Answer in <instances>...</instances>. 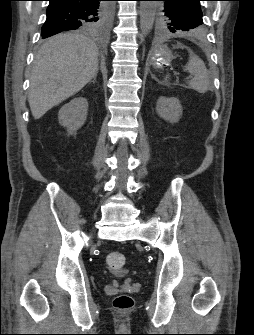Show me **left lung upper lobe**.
I'll list each match as a JSON object with an SVG mask.
<instances>
[{"label":"left lung upper lobe","instance_id":"1","mask_svg":"<svg viewBox=\"0 0 254 335\" xmlns=\"http://www.w3.org/2000/svg\"><path fill=\"white\" fill-rule=\"evenodd\" d=\"M164 1V9L159 11L160 24L164 30L200 31L203 28L202 0H159Z\"/></svg>","mask_w":254,"mask_h":335}]
</instances>
